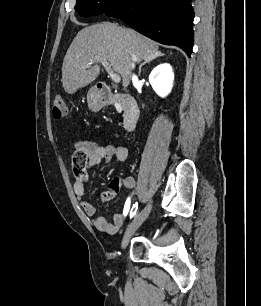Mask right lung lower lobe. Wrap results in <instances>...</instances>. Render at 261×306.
I'll list each match as a JSON object with an SVG mask.
<instances>
[{"label": "right lung lower lobe", "mask_w": 261, "mask_h": 306, "mask_svg": "<svg viewBox=\"0 0 261 306\" xmlns=\"http://www.w3.org/2000/svg\"><path fill=\"white\" fill-rule=\"evenodd\" d=\"M105 14L122 19L157 42L191 54L194 12L190 0H128Z\"/></svg>", "instance_id": "1"}]
</instances>
